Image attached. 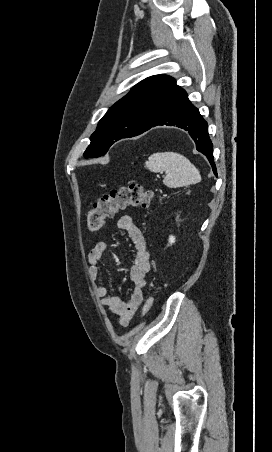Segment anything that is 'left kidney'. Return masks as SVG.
<instances>
[{"label": "left kidney", "mask_w": 272, "mask_h": 452, "mask_svg": "<svg viewBox=\"0 0 272 452\" xmlns=\"http://www.w3.org/2000/svg\"><path fill=\"white\" fill-rule=\"evenodd\" d=\"M169 243L172 245L173 243H175V237L174 236H170L169 237Z\"/></svg>", "instance_id": "obj_1"}]
</instances>
